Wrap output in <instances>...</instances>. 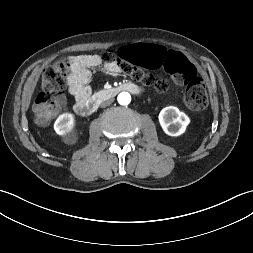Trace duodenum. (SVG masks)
Returning a JSON list of instances; mask_svg holds the SVG:
<instances>
[{"label": "duodenum", "mask_w": 253, "mask_h": 253, "mask_svg": "<svg viewBox=\"0 0 253 253\" xmlns=\"http://www.w3.org/2000/svg\"><path fill=\"white\" fill-rule=\"evenodd\" d=\"M130 92L133 94H139V88L132 83H124L116 87H112L103 91L98 92L97 94L88 97L84 100L78 101L75 104V111L77 114L82 116H89L93 114L101 102L115 97L121 92Z\"/></svg>", "instance_id": "1"}]
</instances>
